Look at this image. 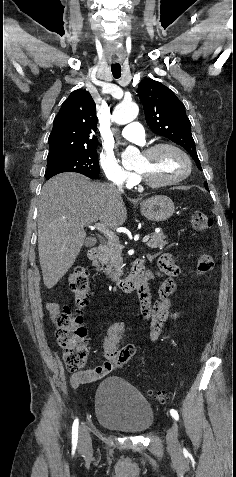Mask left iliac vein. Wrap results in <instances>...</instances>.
Listing matches in <instances>:
<instances>
[{"label": "left iliac vein", "instance_id": "1", "mask_svg": "<svg viewBox=\"0 0 236 477\" xmlns=\"http://www.w3.org/2000/svg\"><path fill=\"white\" fill-rule=\"evenodd\" d=\"M171 419L173 420L174 418L172 417ZM166 440L169 449L175 450L179 447L180 444L178 441V427L176 421L172 422V426L167 432Z\"/></svg>", "mask_w": 236, "mask_h": 477}]
</instances>
